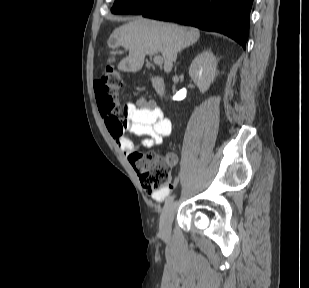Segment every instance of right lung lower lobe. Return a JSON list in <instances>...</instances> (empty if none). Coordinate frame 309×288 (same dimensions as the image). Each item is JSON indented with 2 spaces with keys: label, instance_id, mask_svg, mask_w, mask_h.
Wrapping results in <instances>:
<instances>
[{
  "label": "right lung lower lobe",
  "instance_id": "obj_1",
  "mask_svg": "<svg viewBox=\"0 0 309 288\" xmlns=\"http://www.w3.org/2000/svg\"><path fill=\"white\" fill-rule=\"evenodd\" d=\"M252 2L253 0H165L142 15L219 32L234 39L245 49Z\"/></svg>",
  "mask_w": 309,
  "mask_h": 288
}]
</instances>
